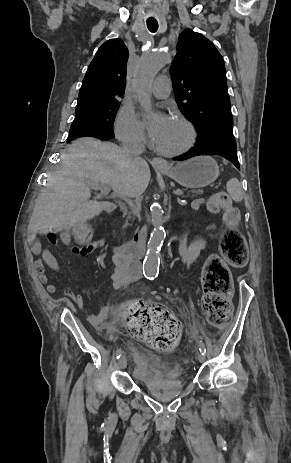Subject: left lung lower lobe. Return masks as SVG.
Instances as JSON below:
<instances>
[{
	"label": "left lung lower lobe",
	"mask_w": 291,
	"mask_h": 463,
	"mask_svg": "<svg viewBox=\"0 0 291 463\" xmlns=\"http://www.w3.org/2000/svg\"><path fill=\"white\" fill-rule=\"evenodd\" d=\"M199 155L222 156L231 161L240 170L236 148L218 144H203L196 141L194 148H192L189 152L176 157L175 160L182 161Z\"/></svg>",
	"instance_id": "left-lung-lower-lobe-1"
}]
</instances>
